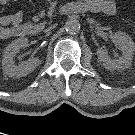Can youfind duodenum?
<instances>
[{
    "mask_svg": "<svg viewBox=\"0 0 135 135\" xmlns=\"http://www.w3.org/2000/svg\"><path fill=\"white\" fill-rule=\"evenodd\" d=\"M30 31H31V29L28 27L23 28V33H25V34H29Z\"/></svg>",
    "mask_w": 135,
    "mask_h": 135,
    "instance_id": "duodenum-1",
    "label": "duodenum"
}]
</instances>
